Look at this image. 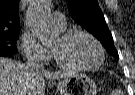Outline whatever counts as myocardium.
<instances>
[{"instance_id": "obj_1", "label": "myocardium", "mask_w": 135, "mask_h": 95, "mask_svg": "<svg viewBox=\"0 0 135 95\" xmlns=\"http://www.w3.org/2000/svg\"><path fill=\"white\" fill-rule=\"evenodd\" d=\"M76 35H84V36L88 37L96 45L98 52H99L98 61L91 65L68 64V63H65L62 60H60L58 58V56L56 55V53L52 50V55H53V58H54L56 64L63 69L78 70V71L93 70V69H96L99 66H101L105 60V50H104V47L101 44V42L93 34H91L90 32H88L86 30L73 29V30H68V31L62 32L61 38L63 40H68Z\"/></svg>"}]
</instances>
